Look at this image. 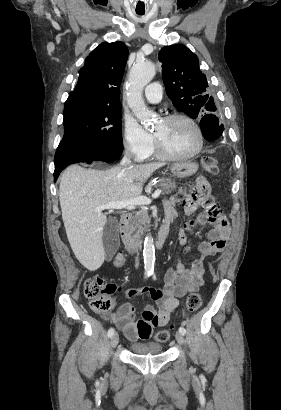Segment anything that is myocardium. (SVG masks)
<instances>
[{"mask_svg":"<svg viewBox=\"0 0 281 410\" xmlns=\"http://www.w3.org/2000/svg\"><path fill=\"white\" fill-rule=\"evenodd\" d=\"M184 120L186 122H188L196 131L197 134V139H198V143H197V147L195 148V150H193L192 152L188 153V154H173L171 152H169L160 142V140L153 135L154 138V146L156 149L157 154L167 160H185V159H190L195 157L196 155H198L204 146V135H203V131L200 127V125L196 122L195 119H193L191 116L184 114V113H172L169 115H166L163 117V121L164 122H170L173 120Z\"/></svg>","mask_w":281,"mask_h":410,"instance_id":"f54148a6","label":"myocardium"}]
</instances>
